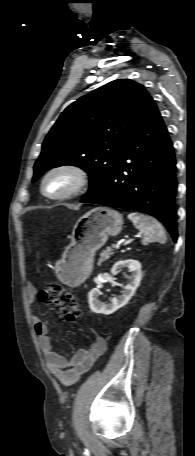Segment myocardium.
I'll return each mask as SVG.
<instances>
[{"label":"myocardium","mask_w":195,"mask_h":456,"mask_svg":"<svg viewBox=\"0 0 195 456\" xmlns=\"http://www.w3.org/2000/svg\"><path fill=\"white\" fill-rule=\"evenodd\" d=\"M58 172H68L71 173L75 178V183L73 187L65 193L62 194H50L46 191V181L47 179ZM89 176L85 169L75 164H61L57 165L50 170H48L42 178L41 181V191L44 196L52 200H66L70 199L78 194H80L88 185Z\"/></svg>","instance_id":"obj_1"}]
</instances>
